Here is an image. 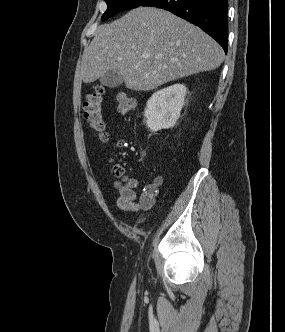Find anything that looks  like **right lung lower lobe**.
I'll list each match as a JSON object with an SVG mask.
<instances>
[{
	"label": "right lung lower lobe",
	"mask_w": 285,
	"mask_h": 332,
	"mask_svg": "<svg viewBox=\"0 0 285 332\" xmlns=\"http://www.w3.org/2000/svg\"><path fill=\"white\" fill-rule=\"evenodd\" d=\"M141 6L168 10L197 25L227 53L228 0H146Z\"/></svg>",
	"instance_id": "1"
}]
</instances>
